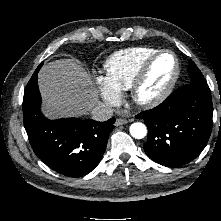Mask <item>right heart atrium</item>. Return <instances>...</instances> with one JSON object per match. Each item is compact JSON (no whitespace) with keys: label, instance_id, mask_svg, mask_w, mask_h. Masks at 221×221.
Here are the masks:
<instances>
[{"label":"right heart atrium","instance_id":"right-heart-atrium-1","mask_svg":"<svg viewBox=\"0 0 221 221\" xmlns=\"http://www.w3.org/2000/svg\"><path fill=\"white\" fill-rule=\"evenodd\" d=\"M102 98L111 106H116L120 101V91L113 86L106 76L99 75L96 77Z\"/></svg>","mask_w":221,"mask_h":221}]
</instances>
